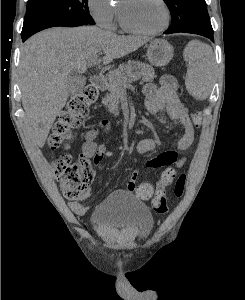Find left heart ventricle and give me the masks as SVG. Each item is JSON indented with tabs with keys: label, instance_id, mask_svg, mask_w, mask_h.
Wrapping results in <instances>:
<instances>
[{
	"label": "left heart ventricle",
	"instance_id": "b2bd125f",
	"mask_svg": "<svg viewBox=\"0 0 245 300\" xmlns=\"http://www.w3.org/2000/svg\"><path fill=\"white\" fill-rule=\"evenodd\" d=\"M121 9L126 20L144 30H154L165 22V12L158 0H123Z\"/></svg>",
	"mask_w": 245,
	"mask_h": 300
}]
</instances>
